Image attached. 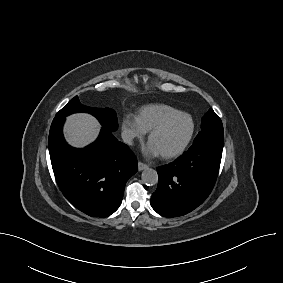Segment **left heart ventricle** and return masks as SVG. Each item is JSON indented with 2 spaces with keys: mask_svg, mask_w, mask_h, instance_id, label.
I'll return each mask as SVG.
<instances>
[{
  "mask_svg": "<svg viewBox=\"0 0 283 283\" xmlns=\"http://www.w3.org/2000/svg\"><path fill=\"white\" fill-rule=\"evenodd\" d=\"M190 126L187 117H175L155 133L150 141L156 146L160 154L173 151L186 139Z\"/></svg>",
  "mask_w": 283,
  "mask_h": 283,
  "instance_id": "1",
  "label": "left heart ventricle"
}]
</instances>
